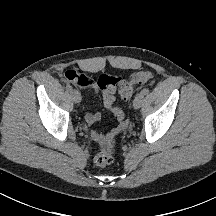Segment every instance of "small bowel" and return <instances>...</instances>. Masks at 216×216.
I'll return each instance as SVG.
<instances>
[{
    "mask_svg": "<svg viewBox=\"0 0 216 216\" xmlns=\"http://www.w3.org/2000/svg\"><path fill=\"white\" fill-rule=\"evenodd\" d=\"M75 83L82 88L93 90L95 93L101 92V89L99 88V86L97 84V81L94 80L90 76L81 74V78L79 80L75 81ZM104 106L106 109H108V107L106 106L105 103H104ZM100 119H101V113H99V112L89 111L85 115V120H86L87 124H89V125L95 124ZM121 129H122V126L119 125V126L113 128L112 130H110L109 132H106V133L98 131V130H92L90 132V137L95 142L104 143L108 139H111L118 132H120Z\"/></svg>",
    "mask_w": 216,
    "mask_h": 216,
    "instance_id": "obj_1",
    "label": "small bowel"
}]
</instances>
